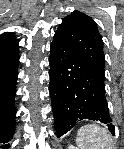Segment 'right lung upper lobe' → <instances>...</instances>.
I'll use <instances>...</instances> for the list:
<instances>
[{
	"mask_svg": "<svg viewBox=\"0 0 124 149\" xmlns=\"http://www.w3.org/2000/svg\"><path fill=\"white\" fill-rule=\"evenodd\" d=\"M9 38H14V34L13 33H5V34H2L1 39H9Z\"/></svg>",
	"mask_w": 124,
	"mask_h": 149,
	"instance_id": "right-lung-upper-lobe-1",
	"label": "right lung upper lobe"
}]
</instances>
